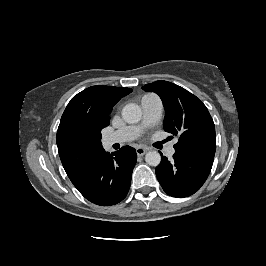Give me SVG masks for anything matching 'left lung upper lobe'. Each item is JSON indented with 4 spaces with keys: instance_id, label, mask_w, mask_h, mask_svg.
Masks as SVG:
<instances>
[{
    "instance_id": "5c2ea615",
    "label": "left lung upper lobe",
    "mask_w": 266,
    "mask_h": 266,
    "mask_svg": "<svg viewBox=\"0 0 266 266\" xmlns=\"http://www.w3.org/2000/svg\"><path fill=\"white\" fill-rule=\"evenodd\" d=\"M157 93L165 108L163 128L179 138L175 152L215 154V126L207 107L195 95L167 81H156L142 87Z\"/></svg>"
}]
</instances>
